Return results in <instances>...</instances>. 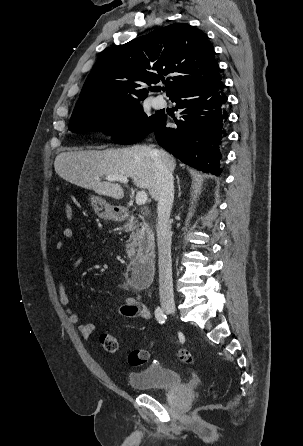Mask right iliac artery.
<instances>
[{
    "mask_svg": "<svg viewBox=\"0 0 303 446\" xmlns=\"http://www.w3.org/2000/svg\"><path fill=\"white\" fill-rule=\"evenodd\" d=\"M155 317H156L157 321H158L160 324L165 323L166 318H167V317H166V314L164 313V311L162 310L161 307H157V308H156V310H155Z\"/></svg>",
    "mask_w": 303,
    "mask_h": 446,
    "instance_id": "right-iliac-artery-1",
    "label": "right iliac artery"
}]
</instances>
